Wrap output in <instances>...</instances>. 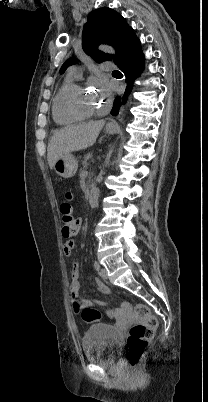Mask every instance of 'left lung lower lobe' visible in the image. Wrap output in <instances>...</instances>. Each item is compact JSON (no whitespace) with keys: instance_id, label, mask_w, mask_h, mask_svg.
<instances>
[{"instance_id":"0a47b994","label":"left lung lower lobe","mask_w":208,"mask_h":402,"mask_svg":"<svg viewBox=\"0 0 208 402\" xmlns=\"http://www.w3.org/2000/svg\"><path fill=\"white\" fill-rule=\"evenodd\" d=\"M115 64L125 74L127 87L123 98L116 97L111 114H118L121 103L126 102L127 94L131 93L133 83L144 68V55L140 48V41L130 27L123 43L114 59ZM122 100V101H121Z\"/></svg>"}]
</instances>
